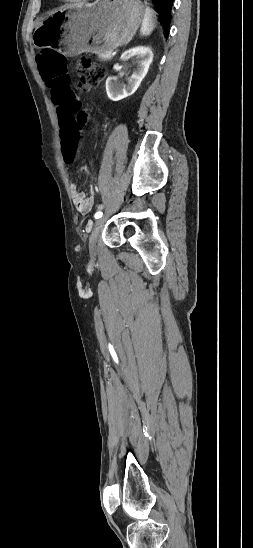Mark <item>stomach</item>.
Here are the masks:
<instances>
[{"label": "stomach", "mask_w": 253, "mask_h": 548, "mask_svg": "<svg viewBox=\"0 0 253 548\" xmlns=\"http://www.w3.org/2000/svg\"><path fill=\"white\" fill-rule=\"evenodd\" d=\"M144 17L140 0H96L66 6L35 30L37 46H57L67 56L111 52L128 44Z\"/></svg>", "instance_id": "stomach-1"}]
</instances>
